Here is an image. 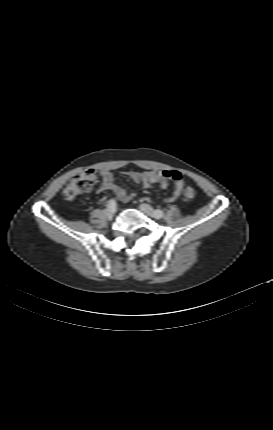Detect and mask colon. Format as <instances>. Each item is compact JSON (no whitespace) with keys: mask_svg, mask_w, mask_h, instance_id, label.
I'll list each match as a JSON object with an SVG mask.
<instances>
[{"mask_svg":"<svg viewBox=\"0 0 273 430\" xmlns=\"http://www.w3.org/2000/svg\"><path fill=\"white\" fill-rule=\"evenodd\" d=\"M99 175L96 171L85 170L77 174L66 186L63 195L66 199H73L79 194L88 192L97 183ZM196 195V191L192 187H187L185 190L186 199H192Z\"/></svg>","mask_w":273,"mask_h":430,"instance_id":"obj_1","label":"colon"}]
</instances>
